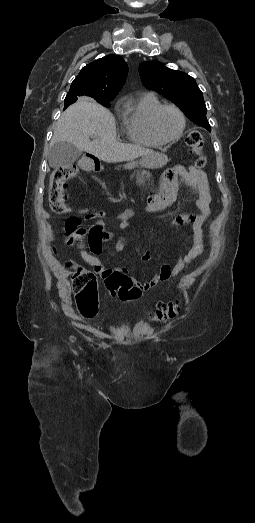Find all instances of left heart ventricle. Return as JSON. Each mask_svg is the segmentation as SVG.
I'll use <instances>...</instances> for the list:
<instances>
[{
  "label": "left heart ventricle",
  "instance_id": "obj_1",
  "mask_svg": "<svg viewBox=\"0 0 255 523\" xmlns=\"http://www.w3.org/2000/svg\"><path fill=\"white\" fill-rule=\"evenodd\" d=\"M181 127V119L172 108L162 110L156 119V129L159 135L165 139L175 137Z\"/></svg>",
  "mask_w": 255,
  "mask_h": 523
}]
</instances>
